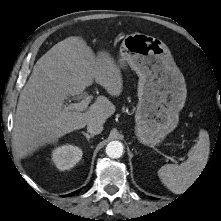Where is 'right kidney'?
<instances>
[{"label": "right kidney", "mask_w": 221, "mask_h": 221, "mask_svg": "<svg viewBox=\"0 0 221 221\" xmlns=\"http://www.w3.org/2000/svg\"><path fill=\"white\" fill-rule=\"evenodd\" d=\"M82 154L78 146L66 144L52 151V161L59 170H68L81 160Z\"/></svg>", "instance_id": "1"}]
</instances>
